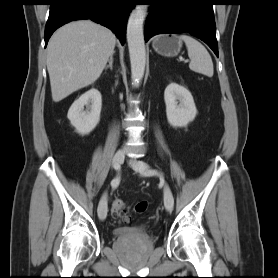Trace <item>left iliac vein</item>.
<instances>
[{
	"instance_id": "obj_1",
	"label": "left iliac vein",
	"mask_w": 278,
	"mask_h": 278,
	"mask_svg": "<svg viewBox=\"0 0 278 278\" xmlns=\"http://www.w3.org/2000/svg\"><path fill=\"white\" fill-rule=\"evenodd\" d=\"M129 165L139 172L142 175L150 176L152 174H148L150 172L149 166L140 160H130ZM164 205L168 212H171L174 205V198L170 187L166 184L164 186Z\"/></svg>"
}]
</instances>
